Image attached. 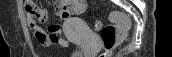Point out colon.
Here are the masks:
<instances>
[{
  "instance_id": "5ec220e1",
  "label": "colon",
  "mask_w": 172,
  "mask_h": 57,
  "mask_svg": "<svg viewBox=\"0 0 172 57\" xmlns=\"http://www.w3.org/2000/svg\"><path fill=\"white\" fill-rule=\"evenodd\" d=\"M26 13L38 15L41 11L29 3L26 7ZM110 18L114 22L113 24L103 25L100 21H96L94 25L95 29L100 32L104 45V51L100 57H109L110 53L123 41L130 27V21L124 14L113 12Z\"/></svg>"
}]
</instances>
